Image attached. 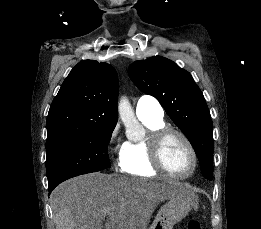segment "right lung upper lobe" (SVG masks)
I'll list each match as a JSON object with an SVG mask.
<instances>
[{
  "mask_svg": "<svg viewBox=\"0 0 261 229\" xmlns=\"http://www.w3.org/2000/svg\"><path fill=\"white\" fill-rule=\"evenodd\" d=\"M118 77L107 63L79 62L64 80L47 117L46 147L97 125H116Z\"/></svg>",
  "mask_w": 261,
  "mask_h": 229,
  "instance_id": "obj_1",
  "label": "right lung upper lobe"
}]
</instances>
